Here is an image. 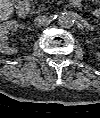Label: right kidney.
<instances>
[{
  "label": "right kidney",
  "instance_id": "right-kidney-1",
  "mask_svg": "<svg viewBox=\"0 0 100 118\" xmlns=\"http://www.w3.org/2000/svg\"><path fill=\"white\" fill-rule=\"evenodd\" d=\"M19 27L15 20L5 21L0 25V52L4 54H15L18 51L16 46L7 45L10 31L14 32Z\"/></svg>",
  "mask_w": 100,
  "mask_h": 118
}]
</instances>
